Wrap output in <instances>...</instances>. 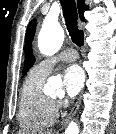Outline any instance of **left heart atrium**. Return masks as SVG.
<instances>
[{
	"label": "left heart atrium",
	"mask_w": 116,
	"mask_h": 134,
	"mask_svg": "<svg viewBox=\"0 0 116 134\" xmlns=\"http://www.w3.org/2000/svg\"><path fill=\"white\" fill-rule=\"evenodd\" d=\"M62 78L66 96L76 97L85 83V74L82 68L78 65H71L64 70Z\"/></svg>",
	"instance_id": "left-heart-atrium-1"
}]
</instances>
